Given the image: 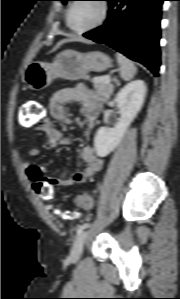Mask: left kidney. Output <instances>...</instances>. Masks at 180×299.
<instances>
[{
	"instance_id": "1",
	"label": "left kidney",
	"mask_w": 180,
	"mask_h": 299,
	"mask_svg": "<svg viewBox=\"0 0 180 299\" xmlns=\"http://www.w3.org/2000/svg\"><path fill=\"white\" fill-rule=\"evenodd\" d=\"M146 95L144 81L135 80L127 84L115 98L120 118L113 128L101 127L98 129L94 145L96 154L105 157L120 143L127 128L143 106Z\"/></svg>"
}]
</instances>
